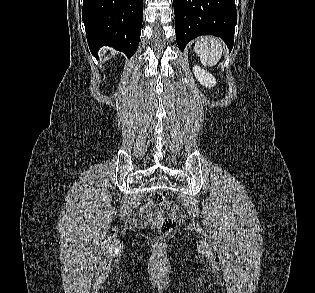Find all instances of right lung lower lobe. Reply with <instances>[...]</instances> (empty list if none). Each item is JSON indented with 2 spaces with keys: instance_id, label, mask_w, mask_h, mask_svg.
Segmentation results:
<instances>
[{
  "instance_id": "obj_1",
  "label": "right lung lower lobe",
  "mask_w": 315,
  "mask_h": 293,
  "mask_svg": "<svg viewBox=\"0 0 315 293\" xmlns=\"http://www.w3.org/2000/svg\"><path fill=\"white\" fill-rule=\"evenodd\" d=\"M82 18L93 55L110 46L131 57L140 41L143 0H83Z\"/></svg>"
}]
</instances>
